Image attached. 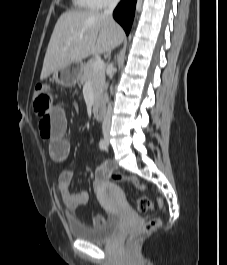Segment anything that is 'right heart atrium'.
Masks as SVG:
<instances>
[{"label":"right heart atrium","instance_id":"obj_1","mask_svg":"<svg viewBox=\"0 0 227 265\" xmlns=\"http://www.w3.org/2000/svg\"><path fill=\"white\" fill-rule=\"evenodd\" d=\"M93 1H94V4H95V7L97 9H101V8H104V7L112 4L116 0H93Z\"/></svg>","mask_w":227,"mask_h":265}]
</instances>
